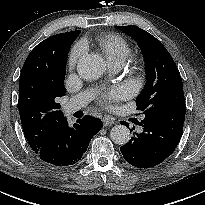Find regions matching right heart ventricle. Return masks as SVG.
Here are the masks:
<instances>
[{
    "label": "right heart ventricle",
    "instance_id": "obj_1",
    "mask_svg": "<svg viewBox=\"0 0 205 205\" xmlns=\"http://www.w3.org/2000/svg\"><path fill=\"white\" fill-rule=\"evenodd\" d=\"M96 43L105 54L110 64L124 63L131 54L127 41L118 34L104 33L96 37Z\"/></svg>",
    "mask_w": 205,
    "mask_h": 205
}]
</instances>
